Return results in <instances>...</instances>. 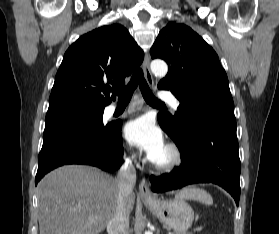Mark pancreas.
<instances>
[{
  "label": "pancreas",
  "instance_id": "obj_1",
  "mask_svg": "<svg viewBox=\"0 0 279 234\" xmlns=\"http://www.w3.org/2000/svg\"><path fill=\"white\" fill-rule=\"evenodd\" d=\"M169 234H177V233H169Z\"/></svg>",
  "mask_w": 279,
  "mask_h": 234
}]
</instances>
